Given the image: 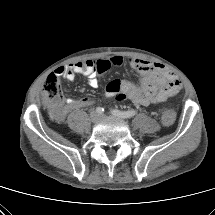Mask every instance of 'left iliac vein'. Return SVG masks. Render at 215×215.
<instances>
[{"label":"left iliac vein","mask_w":215,"mask_h":215,"mask_svg":"<svg viewBox=\"0 0 215 215\" xmlns=\"http://www.w3.org/2000/svg\"><path fill=\"white\" fill-rule=\"evenodd\" d=\"M106 117H107L106 115H101V116H100V118H106Z\"/></svg>","instance_id":"4c4485c4"}]
</instances>
